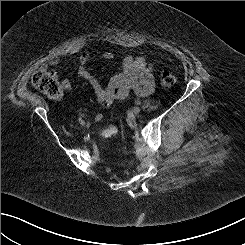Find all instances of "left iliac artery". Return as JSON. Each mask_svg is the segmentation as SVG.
Wrapping results in <instances>:
<instances>
[{"mask_svg": "<svg viewBox=\"0 0 245 245\" xmlns=\"http://www.w3.org/2000/svg\"><path fill=\"white\" fill-rule=\"evenodd\" d=\"M135 103H136L137 105H140V104H141V102H140L139 100L135 101Z\"/></svg>", "mask_w": 245, "mask_h": 245, "instance_id": "left-iliac-artery-1", "label": "left iliac artery"}]
</instances>
